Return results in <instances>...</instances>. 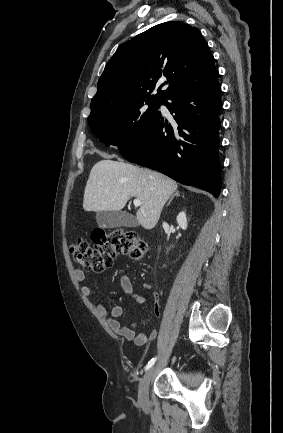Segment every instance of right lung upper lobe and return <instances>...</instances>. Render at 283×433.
Instances as JSON below:
<instances>
[{"instance_id": "obj_1", "label": "right lung upper lobe", "mask_w": 283, "mask_h": 433, "mask_svg": "<svg viewBox=\"0 0 283 433\" xmlns=\"http://www.w3.org/2000/svg\"><path fill=\"white\" fill-rule=\"evenodd\" d=\"M217 75L214 57L198 29L178 21L161 23L118 47L98 81L90 115L139 100L163 102ZM165 84L169 86L161 90Z\"/></svg>"}]
</instances>
